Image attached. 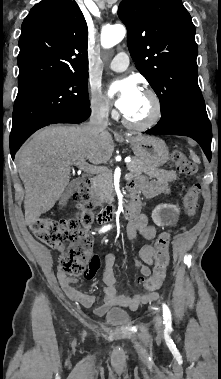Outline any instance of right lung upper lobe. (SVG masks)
Listing matches in <instances>:
<instances>
[{"label":"right lung upper lobe","instance_id":"obj_1","mask_svg":"<svg viewBox=\"0 0 221 379\" xmlns=\"http://www.w3.org/2000/svg\"><path fill=\"white\" fill-rule=\"evenodd\" d=\"M87 41V24L75 1L36 4L21 27L18 84L88 73Z\"/></svg>","mask_w":221,"mask_h":379}]
</instances>
